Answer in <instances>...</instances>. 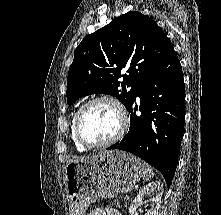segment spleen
Segmentation results:
<instances>
[{
    "mask_svg": "<svg viewBox=\"0 0 221 215\" xmlns=\"http://www.w3.org/2000/svg\"><path fill=\"white\" fill-rule=\"evenodd\" d=\"M142 175L144 181H149L151 178L154 177L152 168L145 162H142Z\"/></svg>",
    "mask_w": 221,
    "mask_h": 215,
    "instance_id": "obj_1",
    "label": "spleen"
}]
</instances>
